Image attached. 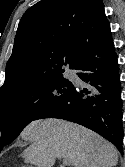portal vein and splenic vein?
I'll use <instances>...</instances> for the list:
<instances>
[{
	"instance_id": "portal-vein-and-splenic-vein-1",
	"label": "portal vein and splenic vein",
	"mask_w": 125,
	"mask_h": 167,
	"mask_svg": "<svg viewBox=\"0 0 125 167\" xmlns=\"http://www.w3.org/2000/svg\"><path fill=\"white\" fill-rule=\"evenodd\" d=\"M71 162H70V160L68 159V158H64L63 159V164H65V165H69Z\"/></svg>"
}]
</instances>
